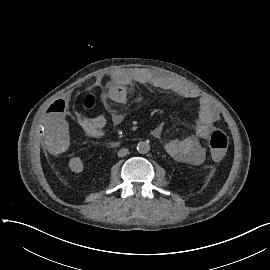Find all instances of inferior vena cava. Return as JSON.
I'll return each mask as SVG.
<instances>
[{
	"instance_id": "inferior-vena-cava-1",
	"label": "inferior vena cava",
	"mask_w": 270,
	"mask_h": 270,
	"mask_svg": "<svg viewBox=\"0 0 270 270\" xmlns=\"http://www.w3.org/2000/svg\"><path fill=\"white\" fill-rule=\"evenodd\" d=\"M128 153H129V150H128V149H121V150H119V152H118V156H119V157H124V156H126Z\"/></svg>"
}]
</instances>
